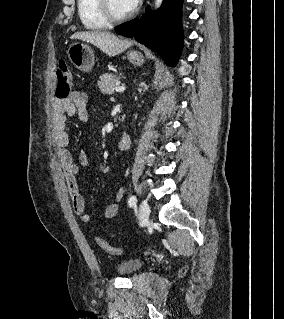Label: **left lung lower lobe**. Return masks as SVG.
Masks as SVG:
<instances>
[{
	"instance_id": "0a47b994",
	"label": "left lung lower lobe",
	"mask_w": 284,
	"mask_h": 319,
	"mask_svg": "<svg viewBox=\"0 0 284 319\" xmlns=\"http://www.w3.org/2000/svg\"><path fill=\"white\" fill-rule=\"evenodd\" d=\"M183 0H164L161 8L152 13L150 8L140 18L126 22L115 31L135 39L157 52L164 61L174 66L183 46L181 8Z\"/></svg>"
}]
</instances>
